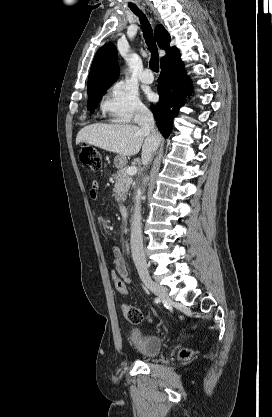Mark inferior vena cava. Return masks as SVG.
I'll list each match as a JSON object with an SVG mask.
<instances>
[{"instance_id": "inferior-vena-cava-1", "label": "inferior vena cava", "mask_w": 272, "mask_h": 417, "mask_svg": "<svg viewBox=\"0 0 272 417\" xmlns=\"http://www.w3.org/2000/svg\"><path fill=\"white\" fill-rule=\"evenodd\" d=\"M135 121L143 131L149 132L152 136H159V133L155 128L153 114L146 107H141L138 109L137 114L135 115ZM140 196L141 193H138L136 196V204L131 225V251L132 258L139 275L148 276V267L143 250Z\"/></svg>"}]
</instances>
